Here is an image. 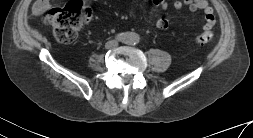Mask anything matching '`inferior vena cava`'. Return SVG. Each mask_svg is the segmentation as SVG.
I'll return each mask as SVG.
<instances>
[{"label": "inferior vena cava", "instance_id": "obj_1", "mask_svg": "<svg viewBox=\"0 0 253 138\" xmlns=\"http://www.w3.org/2000/svg\"><path fill=\"white\" fill-rule=\"evenodd\" d=\"M118 45V42L116 40H110L106 43L105 47L107 49H111V48H114Z\"/></svg>", "mask_w": 253, "mask_h": 138}]
</instances>
